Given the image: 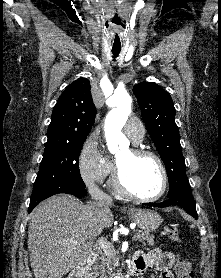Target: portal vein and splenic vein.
<instances>
[{
  "label": "portal vein and splenic vein",
  "mask_w": 221,
  "mask_h": 278,
  "mask_svg": "<svg viewBox=\"0 0 221 278\" xmlns=\"http://www.w3.org/2000/svg\"><path fill=\"white\" fill-rule=\"evenodd\" d=\"M132 239L135 240V235L133 236ZM99 245L101 246V248L104 251L110 249V244L107 241H105L104 239L99 240Z\"/></svg>",
  "instance_id": "portal-vein-and-splenic-vein-1"
}]
</instances>
